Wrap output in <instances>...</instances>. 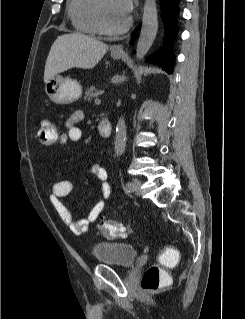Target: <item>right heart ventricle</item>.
I'll return each mask as SVG.
<instances>
[{
  "mask_svg": "<svg viewBox=\"0 0 245 319\" xmlns=\"http://www.w3.org/2000/svg\"><path fill=\"white\" fill-rule=\"evenodd\" d=\"M98 0H69L68 14L73 26L81 33L98 35L96 5Z\"/></svg>",
  "mask_w": 245,
  "mask_h": 319,
  "instance_id": "1",
  "label": "right heart ventricle"
}]
</instances>
